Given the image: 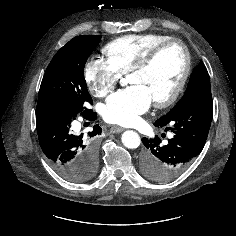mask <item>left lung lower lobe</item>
<instances>
[{
	"label": "left lung lower lobe",
	"mask_w": 236,
	"mask_h": 236,
	"mask_svg": "<svg viewBox=\"0 0 236 236\" xmlns=\"http://www.w3.org/2000/svg\"><path fill=\"white\" fill-rule=\"evenodd\" d=\"M213 100L211 92L191 101L166 120L154 125L174 133L168 143L158 136L143 138L145 150L140 168L145 177L156 182H167L179 176L201 153L211 125Z\"/></svg>",
	"instance_id": "obj_1"
}]
</instances>
